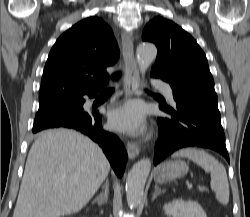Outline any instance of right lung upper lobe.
Returning a JSON list of instances; mask_svg holds the SVG:
<instances>
[{"label":"right lung upper lobe","mask_w":250,"mask_h":217,"mask_svg":"<svg viewBox=\"0 0 250 217\" xmlns=\"http://www.w3.org/2000/svg\"><path fill=\"white\" fill-rule=\"evenodd\" d=\"M119 58L111 28L89 17L63 33L45 64L39 106L75 99L100 90L108 79L106 68Z\"/></svg>","instance_id":"obj_1"}]
</instances>
